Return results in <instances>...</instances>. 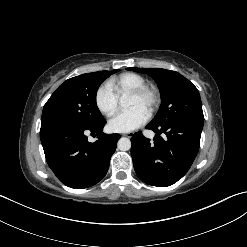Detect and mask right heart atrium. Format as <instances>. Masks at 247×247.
I'll return each instance as SVG.
<instances>
[{
  "mask_svg": "<svg viewBox=\"0 0 247 247\" xmlns=\"http://www.w3.org/2000/svg\"><path fill=\"white\" fill-rule=\"evenodd\" d=\"M118 96L109 85L100 86L95 93V104L105 116H112L118 107Z\"/></svg>",
  "mask_w": 247,
  "mask_h": 247,
  "instance_id": "obj_1",
  "label": "right heart atrium"
}]
</instances>
